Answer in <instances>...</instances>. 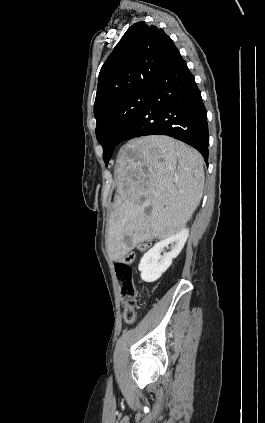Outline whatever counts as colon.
I'll return each mask as SVG.
<instances>
[{
    "mask_svg": "<svg viewBox=\"0 0 265 423\" xmlns=\"http://www.w3.org/2000/svg\"><path fill=\"white\" fill-rule=\"evenodd\" d=\"M142 247H145L143 245ZM134 254L129 253L115 262L116 277L121 285V298L125 305L124 320L132 323L135 319L134 307L137 302L138 292L133 280Z\"/></svg>",
    "mask_w": 265,
    "mask_h": 423,
    "instance_id": "obj_1",
    "label": "colon"
}]
</instances>
